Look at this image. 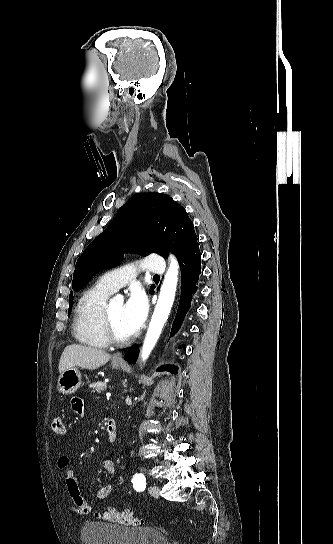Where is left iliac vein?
Returning <instances> with one entry per match:
<instances>
[{"label":"left iliac vein","mask_w":333,"mask_h":544,"mask_svg":"<svg viewBox=\"0 0 333 544\" xmlns=\"http://www.w3.org/2000/svg\"><path fill=\"white\" fill-rule=\"evenodd\" d=\"M149 493L153 496V497H158L159 494H160V489L158 486L156 485H152L149 487L148 489Z\"/></svg>","instance_id":"obj_1"}]
</instances>
